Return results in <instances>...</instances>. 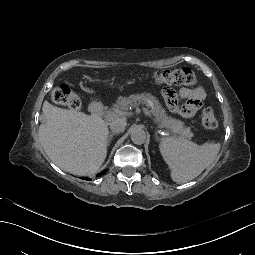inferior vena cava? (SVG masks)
<instances>
[{"label": "inferior vena cava", "instance_id": "1", "mask_svg": "<svg viewBox=\"0 0 255 255\" xmlns=\"http://www.w3.org/2000/svg\"><path fill=\"white\" fill-rule=\"evenodd\" d=\"M126 126V122L122 120H115L110 124V129L113 133L124 132Z\"/></svg>", "mask_w": 255, "mask_h": 255}]
</instances>
